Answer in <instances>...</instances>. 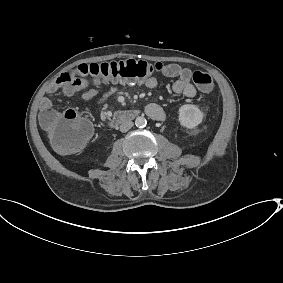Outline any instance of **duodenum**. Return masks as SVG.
I'll return each instance as SVG.
<instances>
[{
  "label": "duodenum",
  "instance_id": "obj_1",
  "mask_svg": "<svg viewBox=\"0 0 283 283\" xmlns=\"http://www.w3.org/2000/svg\"><path fill=\"white\" fill-rule=\"evenodd\" d=\"M139 110L120 111L113 114L109 120L110 127L114 128L122 123L136 118L139 115Z\"/></svg>",
  "mask_w": 283,
  "mask_h": 283
}]
</instances>
